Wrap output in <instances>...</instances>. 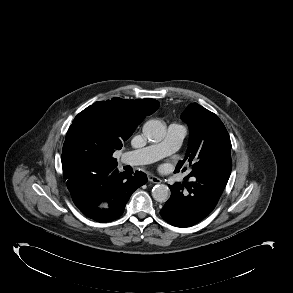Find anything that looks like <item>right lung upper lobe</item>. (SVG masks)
Listing matches in <instances>:
<instances>
[{
    "label": "right lung upper lobe",
    "instance_id": "right-lung-upper-lobe-1",
    "mask_svg": "<svg viewBox=\"0 0 293 293\" xmlns=\"http://www.w3.org/2000/svg\"><path fill=\"white\" fill-rule=\"evenodd\" d=\"M159 107L154 99L123 100L112 98L95 102L80 112L72 122L63 145L62 167L68 189L95 167H114L117 160L112 157L115 150L122 148L142 122ZM104 153L102 164L84 166L81 157L90 151Z\"/></svg>",
    "mask_w": 293,
    "mask_h": 293
}]
</instances>
